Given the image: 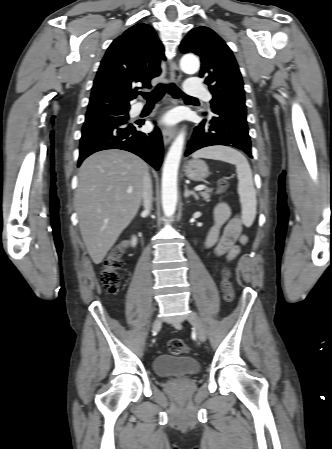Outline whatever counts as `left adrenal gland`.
<instances>
[{
    "label": "left adrenal gland",
    "mask_w": 332,
    "mask_h": 449,
    "mask_svg": "<svg viewBox=\"0 0 332 449\" xmlns=\"http://www.w3.org/2000/svg\"><path fill=\"white\" fill-rule=\"evenodd\" d=\"M184 188H185V191H184L185 198H188L190 195H192V196H194L195 199H198V195L196 194L195 191L189 190L187 185H185Z\"/></svg>",
    "instance_id": "obj_1"
}]
</instances>
